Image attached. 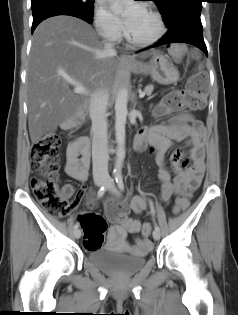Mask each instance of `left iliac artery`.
Listing matches in <instances>:
<instances>
[{"mask_svg":"<svg viewBox=\"0 0 238 315\" xmlns=\"http://www.w3.org/2000/svg\"><path fill=\"white\" fill-rule=\"evenodd\" d=\"M115 179H116V183H117L119 189H120V190H124V183H123L122 174H121V173H118V174L116 175V178H115ZM150 206H151L152 215H153V217H154L155 211H154V207H153L152 201H150ZM154 228H155V230H158V231L160 230V228H159V226L157 225L156 222H154Z\"/></svg>","mask_w":238,"mask_h":315,"instance_id":"44dca946","label":"left iliac artery"}]
</instances>
